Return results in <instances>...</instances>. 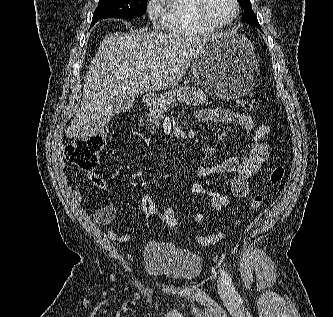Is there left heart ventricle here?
I'll return each instance as SVG.
<instances>
[{"label": "left heart ventricle", "mask_w": 333, "mask_h": 317, "mask_svg": "<svg viewBox=\"0 0 333 317\" xmlns=\"http://www.w3.org/2000/svg\"><path fill=\"white\" fill-rule=\"evenodd\" d=\"M235 12V5L232 0H209L208 15L217 22L230 19Z\"/></svg>", "instance_id": "obj_1"}]
</instances>
